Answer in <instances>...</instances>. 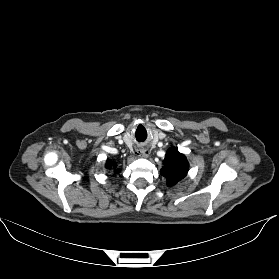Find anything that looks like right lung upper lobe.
<instances>
[{
    "instance_id": "cb5924a9",
    "label": "right lung upper lobe",
    "mask_w": 279,
    "mask_h": 279,
    "mask_svg": "<svg viewBox=\"0 0 279 279\" xmlns=\"http://www.w3.org/2000/svg\"><path fill=\"white\" fill-rule=\"evenodd\" d=\"M114 165H115L114 162H112L111 160H108L107 163H106V168L111 169L112 166H114Z\"/></svg>"
}]
</instances>
